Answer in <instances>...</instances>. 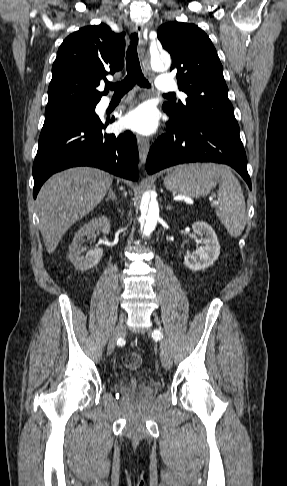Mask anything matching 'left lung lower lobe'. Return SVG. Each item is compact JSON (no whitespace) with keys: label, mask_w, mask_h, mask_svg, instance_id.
Segmentation results:
<instances>
[{"label":"left lung lower lobe","mask_w":287,"mask_h":486,"mask_svg":"<svg viewBox=\"0 0 287 486\" xmlns=\"http://www.w3.org/2000/svg\"><path fill=\"white\" fill-rule=\"evenodd\" d=\"M189 162H216L234 168L251 189L247 159L239 132L210 124H182L170 117L166 133L150 148L146 170L153 174L164 168Z\"/></svg>","instance_id":"left-lung-lower-lobe-1"}]
</instances>
